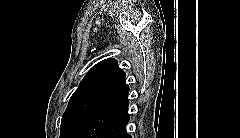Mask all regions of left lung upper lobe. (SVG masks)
I'll return each instance as SVG.
<instances>
[{"label": "left lung upper lobe", "mask_w": 240, "mask_h": 138, "mask_svg": "<svg viewBox=\"0 0 240 138\" xmlns=\"http://www.w3.org/2000/svg\"><path fill=\"white\" fill-rule=\"evenodd\" d=\"M124 79L125 73L115 59H106L96 64L70 98L62 116L60 138H79Z\"/></svg>", "instance_id": "obj_1"}]
</instances>
